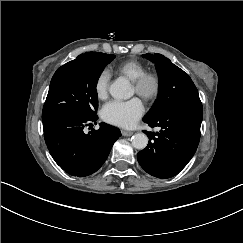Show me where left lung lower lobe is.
Masks as SVG:
<instances>
[{
  "instance_id": "0a47b994",
  "label": "left lung lower lobe",
  "mask_w": 243,
  "mask_h": 243,
  "mask_svg": "<svg viewBox=\"0 0 243 243\" xmlns=\"http://www.w3.org/2000/svg\"><path fill=\"white\" fill-rule=\"evenodd\" d=\"M203 118L201 102H182L148 123L160 132H145L148 146L137 154L141 167L150 175L170 178L177 175L191 160L200 140Z\"/></svg>"
}]
</instances>
